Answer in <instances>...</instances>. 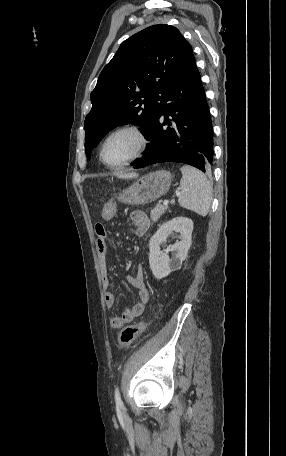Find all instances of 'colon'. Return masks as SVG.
Wrapping results in <instances>:
<instances>
[{
    "label": "colon",
    "instance_id": "1",
    "mask_svg": "<svg viewBox=\"0 0 286 456\" xmlns=\"http://www.w3.org/2000/svg\"><path fill=\"white\" fill-rule=\"evenodd\" d=\"M148 325L149 322L144 321L125 327L119 334V345L125 347L132 344L140 336V334H142L145 331Z\"/></svg>",
    "mask_w": 286,
    "mask_h": 456
}]
</instances>
